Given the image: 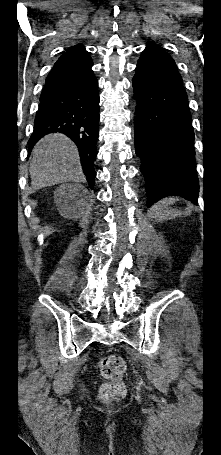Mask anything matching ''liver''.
Masks as SVG:
<instances>
[{
  "mask_svg": "<svg viewBox=\"0 0 221 455\" xmlns=\"http://www.w3.org/2000/svg\"><path fill=\"white\" fill-rule=\"evenodd\" d=\"M29 172L32 190L84 178L76 146L60 133L46 135L36 144Z\"/></svg>",
  "mask_w": 221,
  "mask_h": 455,
  "instance_id": "liver-1",
  "label": "liver"
}]
</instances>
